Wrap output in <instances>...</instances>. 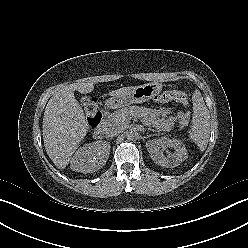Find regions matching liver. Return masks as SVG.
Listing matches in <instances>:
<instances>
[{
  "instance_id": "1",
  "label": "liver",
  "mask_w": 248,
  "mask_h": 248,
  "mask_svg": "<svg viewBox=\"0 0 248 248\" xmlns=\"http://www.w3.org/2000/svg\"><path fill=\"white\" fill-rule=\"evenodd\" d=\"M135 87H123L109 93L124 94ZM94 89L92 83L78 82L64 86L48 101L43 116V140L46 152L59 169H64L85 138L89 125L84 111L75 99L74 91L82 94Z\"/></svg>"
}]
</instances>
